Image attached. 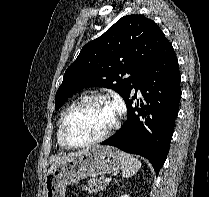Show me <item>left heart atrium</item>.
I'll return each instance as SVG.
<instances>
[{"label":"left heart atrium","instance_id":"39dd6f15","mask_svg":"<svg viewBox=\"0 0 209 197\" xmlns=\"http://www.w3.org/2000/svg\"><path fill=\"white\" fill-rule=\"evenodd\" d=\"M115 112L119 110V104L117 102L111 104Z\"/></svg>","mask_w":209,"mask_h":197}]
</instances>
